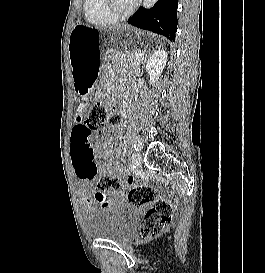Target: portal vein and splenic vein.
I'll return each mask as SVG.
<instances>
[{"instance_id":"18ae733b","label":"portal vein and splenic vein","mask_w":265,"mask_h":273,"mask_svg":"<svg viewBox=\"0 0 265 273\" xmlns=\"http://www.w3.org/2000/svg\"><path fill=\"white\" fill-rule=\"evenodd\" d=\"M136 57H137V58H139V57H140V55H136Z\"/></svg>"}]
</instances>
